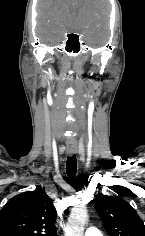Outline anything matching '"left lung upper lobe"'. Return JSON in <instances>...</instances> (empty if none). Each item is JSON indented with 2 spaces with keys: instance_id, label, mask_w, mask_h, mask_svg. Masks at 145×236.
I'll return each instance as SVG.
<instances>
[{
  "instance_id": "obj_1",
  "label": "left lung upper lobe",
  "mask_w": 145,
  "mask_h": 236,
  "mask_svg": "<svg viewBox=\"0 0 145 236\" xmlns=\"http://www.w3.org/2000/svg\"><path fill=\"white\" fill-rule=\"evenodd\" d=\"M97 210L109 236H145V225L125 200L111 196L96 199Z\"/></svg>"
}]
</instances>
